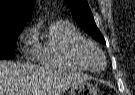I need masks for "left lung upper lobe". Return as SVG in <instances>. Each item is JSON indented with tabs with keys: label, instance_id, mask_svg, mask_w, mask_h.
I'll list each match as a JSON object with an SVG mask.
<instances>
[{
	"label": "left lung upper lobe",
	"instance_id": "left-lung-upper-lobe-1",
	"mask_svg": "<svg viewBox=\"0 0 135 95\" xmlns=\"http://www.w3.org/2000/svg\"><path fill=\"white\" fill-rule=\"evenodd\" d=\"M69 6L72 15L81 28L102 44H106L103 35L97 28L86 0H65Z\"/></svg>",
	"mask_w": 135,
	"mask_h": 95
}]
</instances>
